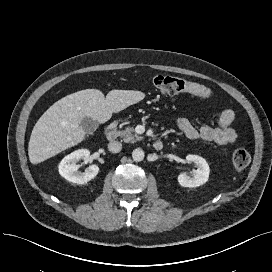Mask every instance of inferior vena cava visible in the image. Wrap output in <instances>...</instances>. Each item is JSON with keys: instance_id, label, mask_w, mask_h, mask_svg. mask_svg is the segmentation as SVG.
Wrapping results in <instances>:
<instances>
[{"instance_id": "1", "label": "inferior vena cava", "mask_w": 272, "mask_h": 272, "mask_svg": "<svg viewBox=\"0 0 272 272\" xmlns=\"http://www.w3.org/2000/svg\"><path fill=\"white\" fill-rule=\"evenodd\" d=\"M108 149L112 153H118L122 149V144L118 141L109 142Z\"/></svg>"}]
</instances>
